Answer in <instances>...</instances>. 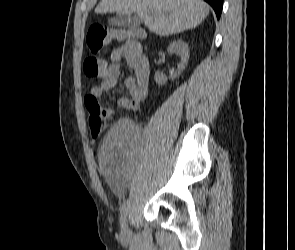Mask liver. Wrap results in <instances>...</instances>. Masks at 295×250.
I'll use <instances>...</instances> for the list:
<instances>
[{
  "label": "liver",
  "instance_id": "obj_1",
  "mask_svg": "<svg viewBox=\"0 0 295 250\" xmlns=\"http://www.w3.org/2000/svg\"><path fill=\"white\" fill-rule=\"evenodd\" d=\"M95 13H136L149 31L169 36L199 26L209 6L201 0H101Z\"/></svg>",
  "mask_w": 295,
  "mask_h": 250
}]
</instances>
